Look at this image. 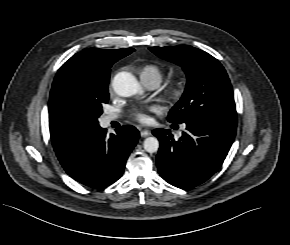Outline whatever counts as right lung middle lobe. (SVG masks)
Masks as SVG:
<instances>
[{
	"label": "right lung middle lobe",
	"mask_w": 290,
	"mask_h": 245,
	"mask_svg": "<svg viewBox=\"0 0 290 245\" xmlns=\"http://www.w3.org/2000/svg\"><path fill=\"white\" fill-rule=\"evenodd\" d=\"M74 64L59 76L56 90L64 103L92 128L99 126L102 106L108 102L110 67Z\"/></svg>",
	"instance_id": "obj_1"
}]
</instances>
